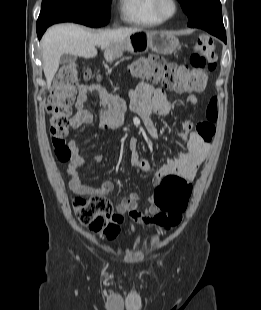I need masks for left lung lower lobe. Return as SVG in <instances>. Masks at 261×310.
<instances>
[{"label": "left lung lower lobe", "mask_w": 261, "mask_h": 310, "mask_svg": "<svg viewBox=\"0 0 261 310\" xmlns=\"http://www.w3.org/2000/svg\"><path fill=\"white\" fill-rule=\"evenodd\" d=\"M188 26L204 29L210 34L220 38L226 43V33H225L224 26L215 21L208 20V21H203L199 23L197 22V23H192Z\"/></svg>", "instance_id": "left-lung-lower-lobe-1"}]
</instances>
